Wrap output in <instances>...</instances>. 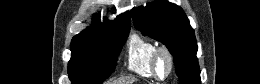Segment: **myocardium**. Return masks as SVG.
Masks as SVG:
<instances>
[{"label": "myocardium", "mask_w": 260, "mask_h": 84, "mask_svg": "<svg viewBox=\"0 0 260 84\" xmlns=\"http://www.w3.org/2000/svg\"><path fill=\"white\" fill-rule=\"evenodd\" d=\"M162 59L166 60L167 70L163 75H160L159 74V65H160V61ZM151 66H152V72H153L154 78H156L157 80H160V81H163V80H166L167 78H169L174 70V58H173V55L170 52V50L165 46L156 48V50L154 51L153 57H152Z\"/></svg>", "instance_id": "myocardium-1"}]
</instances>
